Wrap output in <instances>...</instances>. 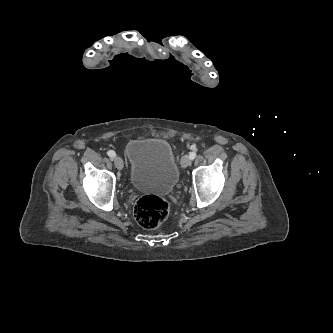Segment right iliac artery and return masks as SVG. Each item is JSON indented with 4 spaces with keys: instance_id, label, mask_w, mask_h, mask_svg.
<instances>
[{
    "instance_id": "1",
    "label": "right iliac artery",
    "mask_w": 333,
    "mask_h": 333,
    "mask_svg": "<svg viewBox=\"0 0 333 333\" xmlns=\"http://www.w3.org/2000/svg\"><path fill=\"white\" fill-rule=\"evenodd\" d=\"M107 155H108L109 157L113 158V157L116 156V153H115L113 150H109V151L107 152Z\"/></svg>"
}]
</instances>
